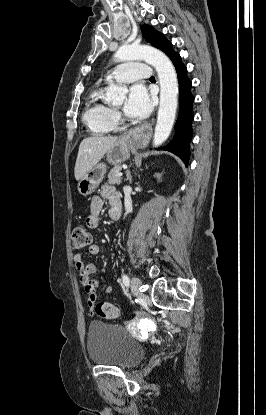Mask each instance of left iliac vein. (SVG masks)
<instances>
[{
    "mask_svg": "<svg viewBox=\"0 0 266 415\" xmlns=\"http://www.w3.org/2000/svg\"><path fill=\"white\" fill-rule=\"evenodd\" d=\"M141 284L142 283H141V280L139 278L133 277L131 279L130 287H131V291L134 295H136V296H141L142 295V293L140 291Z\"/></svg>",
    "mask_w": 266,
    "mask_h": 415,
    "instance_id": "4c4485c4",
    "label": "left iliac vein"
}]
</instances>
